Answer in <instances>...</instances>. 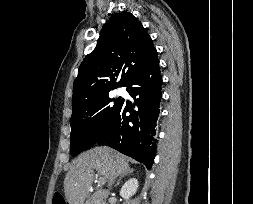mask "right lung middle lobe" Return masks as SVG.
Wrapping results in <instances>:
<instances>
[{
  "label": "right lung middle lobe",
  "instance_id": "dd1d6c3e",
  "mask_svg": "<svg viewBox=\"0 0 253 204\" xmlns=\"http://www.w3.org/2000/svg\"><path fill=\"white\" fill-rule=\"evenodd\" d=\"M108 94L74 108L71 117L70 150L76 156L95 144L114 117L120 102L111 105Z\"/></svg>",
  "mask_w": 253,
  "mask_h": 204
}]
</instances>
